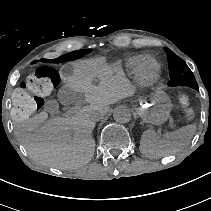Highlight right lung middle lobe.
Segmentation results:
<instances>
[{"label": "right lung middle lobe", "instance_id": "1", "mask_svg": "<svg viewBox=\"0 0 211 211\" xmlns=\"http://www.w3.org/2000/svg\"><path fill=\"white\" fill-rule=\"evenodd\" d=\"M91 51H92L91 49H83V50L70 52V53L60 56L59 58L54 59L53 62L60 63V62L76 60V59L81 58L82 56L90 53Z\"/></svg>", "mask_w": 211, "mask_h": 211}]
</instances>
